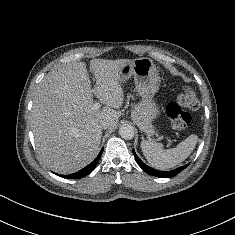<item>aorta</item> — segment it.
Segmentation results:
<instances>
[{
    "label": "aorta",
    "mask_w": 235,
    "mask_h": 235,
    "mask_svg": "<svg viewBox=\"0 0 235 235\" xmlns=\"http://www.w3.org/2000/svg\"><path fill=\"white\" fill-rule=\"evenodd\" d=\"M134 128L132 125L124 124L119 128V135L125 139L130 140L134 137Z\"/></svg>",
    "instance_id": "1"
}]
</instances>
